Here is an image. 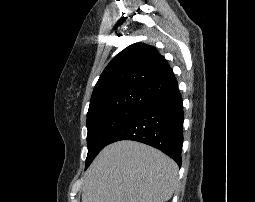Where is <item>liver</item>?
<instances>
[{"label":"liver","instance_id":"liver-1","mask_svg":"<svg viewBox=\"0 0 255 202\" xmlns=\"http://www.w3.org/2000/svg\"><path fill=\"white\" fill-rule=\"evenodd\" d=\"M178 183V166L161 151L136 141L106 146L88 168L82 202H166Z\"/></svg>","mask_w":255,"mask_h":202}]
</instances>
